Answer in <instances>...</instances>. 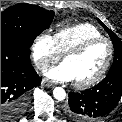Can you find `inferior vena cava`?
<instances>
[{
    "label": "inferior vena cava",
    "instance_id": "602c4592",
    "mask_svg": "<svg viewBox=\"0 0 122 122\" xmlns=\"http://www.w3.org/2000/svg\"><path fill=\"white\" fill-rule=\"evenodd\" d=\"M37 67L40 69V70H47L49 67L46 66V65H41V64H37Z\"/></svg>",
    "mask_w": 122,
    "mask_h": 122
}]
</instances>
